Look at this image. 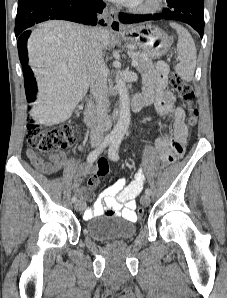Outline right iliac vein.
<instances>
[{"instance_id":"63e3f726","label":"right iliac vein","mask_w":227,"mask_h":298,"mask_svg":"<svg viewBox=\"0 0 227 298\" xmlns=\"http://www.w3.org/2000/svg\"><path fill=\"white\" fill-rule=\"evenodd\" d=\"M74 209L76 211H82L84 209V204L81 201H76L74 203Z\"/></svg>"}]
</instances>
